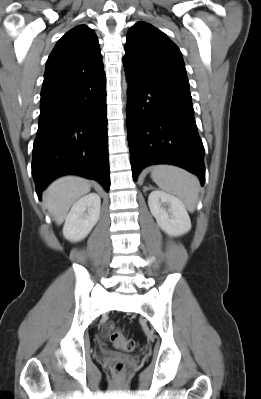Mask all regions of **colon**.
Wrapping results in <instances>:
<instances>
[{
  "label": "colon",
  "mask_w": 261,
  "mask_h": 399,
  "mask_svg": "<svg viewBox=\"0 0 261 399\" xmlns=\"http://www.w3.org/2000/svg\"><path fill=\"white\" fill-rule=\"evenodd\" d=\"M109 332L110 340L115 347L127 352L134 351L138 347L137 341L126 338L120 328L111 324ZM114 372L116 374H122L124 372V364L121 362L116 363Z\"/></svg>",
  "instance_id": "colon-1"
}]
</instances>
